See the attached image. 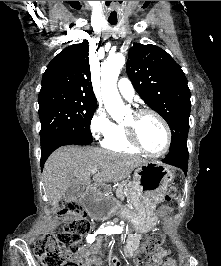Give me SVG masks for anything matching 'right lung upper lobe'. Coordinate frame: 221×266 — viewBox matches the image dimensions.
I'll return each mask as SVG.
<instances>
[{
    "label": "right lung upper lobe",
    "mask_w": 221,
    "mask_h": 266,
    "mask_svg": "<svg viewBox=\"0 0 221 266\" xmlns=\"http://www.w3.org/2000/svg\"><path fill=\"white\" fill-rule=\"evenodd\" d=\"M88 41L65 48L48 64L41 81V91L64 90L96 101L90 79Z\"/></svg>",
    "instance_id": "obj_1"
}]
</instances>
